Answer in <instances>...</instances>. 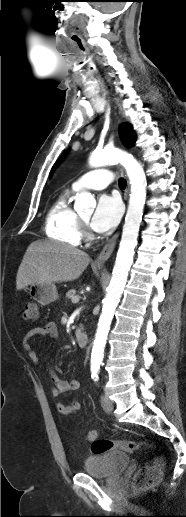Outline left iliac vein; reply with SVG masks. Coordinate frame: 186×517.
Segmentation results:
<instances>
[{
	"mask_svg": "<svg viewBox=\"0 0 186 517\" xmlns=\"http://www.w3.org/2000/svg\"><path fill=\"white\" fill-rule=\"evenodd\" d=\"M101 405L106 413L111 414L113 412V402L106 395L101 396Z\"/></svg>",
	"mask_w": 186,
	"mask_h": 517,
	"instance_id": "obj_1",
	"label": "left iliac vein"
}]
</instances>
